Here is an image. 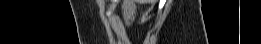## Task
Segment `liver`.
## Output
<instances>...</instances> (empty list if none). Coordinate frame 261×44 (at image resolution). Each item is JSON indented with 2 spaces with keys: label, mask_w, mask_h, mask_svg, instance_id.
Instances as JSON below:
<instances>
[{
  "label": "liver",
  "mask_w": 261,
  "mask_h": 44,
  "mask_svg": "<svg viewBox=\"0 0 261 44\" xmlns=\"http://www.w3.org/2000/svg\"><path fill=\"white\" fill-rule=\"evenodd\" d=\"M139 0H124L122 3V13L123 18L127 24L133 20L134 15L136 13V5L135 2Z\"/></svg>",
  "instance_id": "6515ba94"
}]
</instances>
